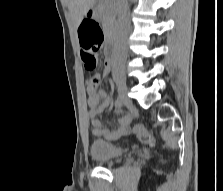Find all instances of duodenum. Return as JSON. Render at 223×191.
Listing matches in <instances>:
<instances>
[{
  "label": "duodenum",
  "mask_w": 223,
  "mask_h": 191,
  "mask_svg": "<svg viewBox=\"0 0 223 191\" xmlns=\"http://www.w3.org/2000/svg\"><path fill=\"white\" fill-rule=\"evenodd\" d=\"M96 14L95 8H89L87 11V16L88 17H94V15ZM113 52H114V43L112 41V39H109L108 44H107V58L109 59V61L111 63H113Z\"/></svg>",
  "instance_id": "1"
}]
</instances>
